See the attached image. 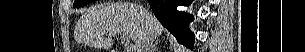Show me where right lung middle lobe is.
Masks as SVG:
<instances>
[{"mask_svg":"<svg viewBox=\"0 0 305 52\" xmlns=\"http://www.w3.org/2000/svg\"><path fill=\"white\" fill-rule=\"evenodd\" d=\"M92 1H94V0H75L73 6L75 8L82 7L84 5L91 3Z\"/></svg>","mask_w":305,"mask_h":52,"instance_id":"1","label":"right lung middle lobe"}]
</instances>
